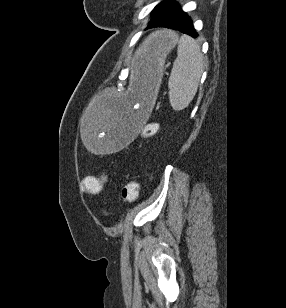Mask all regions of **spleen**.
<instances>
[{
    "mask_svg": "<svg viewBox=\"0 0 286 308\" xmlns=\"http://www.w3.org/2000/svg\"><path fill=\"white\" fill-rule=\"evenodd\" d=\"M203 61L198 43L187 35L181 36L168 81L169 101L175 111L187 108L193 100L203 73Z\"/></svg>",
    "mask_w": 286,
    "mask_h": 308,
    "instance_id": "obj_1",
    "label": "spleen"
}]
</instances>
